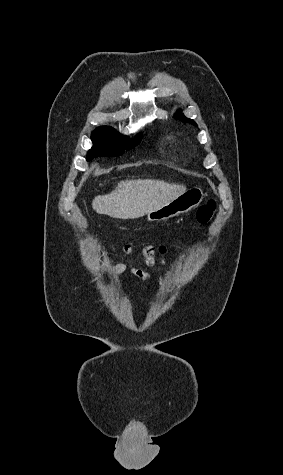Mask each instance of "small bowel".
<instances>
[{
	"instance_id": "obj_1",
	"label": "small bowel",
	"mask_w": 283,
	"mask_h": 475,
	"mask_svg": "<svg viewBox=\"0 0 283 475\" xmlns=\"http://www.w3.org/2000/svg\"><path fill=\"white\" fill-rule=\"evenodd\" d=\"M107 273L111 275H122L125 273H129L141 281L154 283L160 286L163 285L162 280L158 277L137 268H128L125 264L122 263L112 266L107 270Z\"/></svg>"
}]
</instances>
